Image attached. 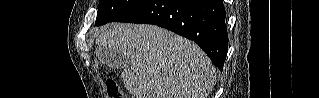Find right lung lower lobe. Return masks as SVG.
<instances>
[{
	"instance_id": "obj_1",
	"label": "right lung lower lobe",
	"mask_w": 319,
	"mask_h": 98,
	"mask_svg": "<svg viewBox=\"0 0 319 98\" xmlns=\"http://www.w3.org/2000/svg\"><path fill=\"white\" fill-rule=\"evenodd\" d=\"M222 0H147L115 22L155 24L196 42L222 71L228 51Z\"/></svg>"
}]
</instances>
